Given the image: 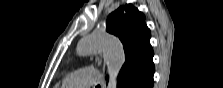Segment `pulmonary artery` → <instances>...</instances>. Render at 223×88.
Returning <instances> with one entry per match:
<instances>
[{"label":"pulmonary artery","instance_id":"1","mask_svg":"<svg viewBox=\"0 0 223 88\" xmlns=\"http://www.w3.org/2000/svg\"><path fill=\"white\" fill-rule=\"evenodd\" d=\"M103 83L102 75L94 69L83 68L70 73L63 81V86L68 88H87Z\"/></svg>","mask_w":223,"mask_h":88}]
</instances>
